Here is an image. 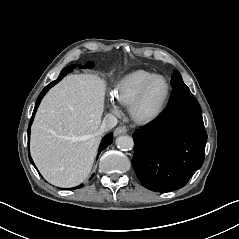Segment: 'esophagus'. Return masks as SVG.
<instances>
[{"instance_id": "1", "label": "esophagus", "mask_w": 239, "mask_h": 239, "mask_svg": "<svg viewBox=\"0 0 239 239\" xmlns=\"http://www.w3.org/2000/svg\"><path fill=\"white\" fill-rule=\"evenodd\" d=\"M128 130H127V128L126 127H124V126H119V127H117L116 129H115V131H114V136H118L119 134H124V133H126Z\"/></svg>"}]
</instances>
